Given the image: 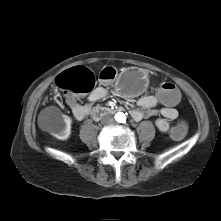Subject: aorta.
<instances>
[{"label":"aorta","instance_id":"1","mask_svg":"<svg viewBox=\"0 0 221 221\" xmlns=\"http://www.w3.org/2000/svg\"><path fill=\"white\" fill-rule=\"evenodd\" d=\"M115 119H116V121H118V122H123V121L125 120V115H124V113H122V112L116 113Z\"/></svg>","mask_w":221,"mask_h":221}]
</instances>
